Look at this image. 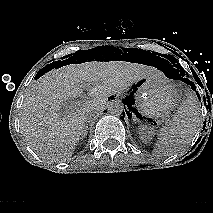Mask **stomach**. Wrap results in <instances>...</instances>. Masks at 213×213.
<instances>
[{
  "label": "stomach",
  "mask_w": 213,
  "mask_h": 213,
  "mask_svg": "<svg viewBox=\"0 0 213 213\" xmlns=\"http://www.w3.org/2000/svg\"><path fill=\"white\" fill-rule=\"evenodd\" d=\"M138 112L149 119L158 120L179 104V94L173 84L163 76H148L132 86Z\"/></svg>",
  "instance_id": "obj_1"
}]
</instances>
